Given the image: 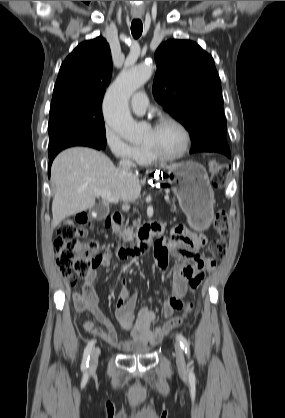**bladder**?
I'll list each match as a JSON object with an SVG mask.
<instances>
[{"instance_id":"1","label":"bladder","mask_w":285,"mask_h":418,"mask_svg":"<svg viewBox=\"0 0 285 418\" xmlns=\"http://www.w3.org/2000/svg\"><path fill=\"white\" fill-rule=\"evenodd\" d=\"M150 350H151L150 347H143V348L134 349L133 350V355H135V356H145V355H148Z\"/></svg>"}]
</instances>
